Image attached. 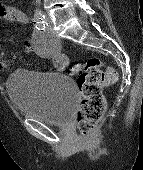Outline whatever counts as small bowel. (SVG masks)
Returning a JSON list of instances; mask_svg holds the SVG:
<instances>
[{
    "instance_id": "obj_1",
    "label": "small bowel",
    "mask_w": 143,
    "mask_h": 170,
    "mask_svg": "<svg viewBox=\"0 0 143 170\" xmlns=\"http://www.w3.org/2000/svg\"><path fill=\"white\" fill-rule=\"evenodd\" d=\"M0 19L5 20L7 22H11V23H16L18 25H25L27 23V16L22 9L14 7V6L5 5L2 3H0ZM24 47L26 51L29 53H38L42 55V53L37 50L36 46L34 45L32 41H25ZM58 57H62L67 62L64 56L54 57L53 66L56 69H59L61 66L58 60ZM7 67H8V63L6 60H4L3 53L0 48V68L5 69Z\"/></svg>"
}]
</instances>
